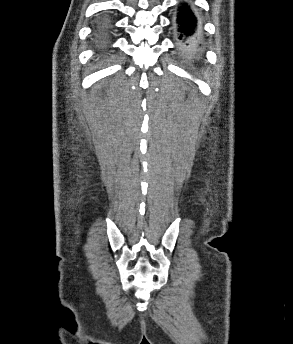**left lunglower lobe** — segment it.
<instances>
[{
	"label": "left lung lower lobe",
	"mask_w": 293,
	"mask_h": 344,
	"mask_svg": "<svg viewBox=\"0 0 293 344\" xmlns=\"http://www.w3.org/2000/svg\"><path fill=\"white\" fill-rule=\"evenodd\" d=\"M176 24L183 54L187 57H193L197 53L193 39L196 36L198 23L188 5L184 4L179 7Z\"/></svg>",
	"instance_id": "left-lung-lower-lobe-1"
}]
</instances>
